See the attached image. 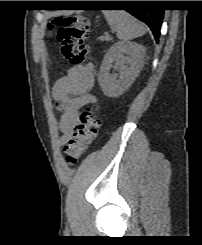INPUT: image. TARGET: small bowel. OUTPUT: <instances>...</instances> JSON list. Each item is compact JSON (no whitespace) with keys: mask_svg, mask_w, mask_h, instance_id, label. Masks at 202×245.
Listing matches in <instances>:
<instances>
[{"mask_svg":"<svg viewBox=\"0 0 202 245\" xmlns=\"http://www.w3.org/2000/svg\"><path fill=\"white\" fill-rule=\"evenodd\" d=\"M93 84L94 69L91 64L73 66L55 82L52 94L62 112L59 144L66 145L73 136L80 124L83 107L96 105V98L91 93Z\"/></svg>","mask_w":202,"mask_h":245,"instance_id":"obj_1","label":"small bowel"}]
</instances>
